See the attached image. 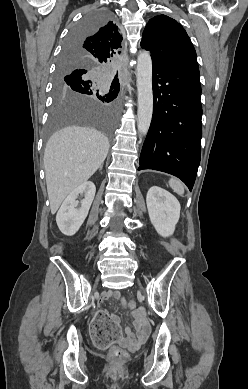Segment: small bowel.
Instances as JSON below:
<instances>
[{
    "label": "small bowel",
    "instance_id": "small-bowel-1",
    "mask_svg": "<svg viewBox=\"0 0 248 389\" xmlns=\"http://www.w3.org/2000/svg\"><path fill=\"white\" fill-rule=\"evenodd\" d=\"M103 298L105 300L114 298L121 300L124 303V299L120 291H107L103 294ZM111 318L115 321L118 320V316L114 314L111 315ZM132 324L136 329V333L133 332L131 328L126 327L125 337H123L122 340H119L122 345L131 349L139 347L146 340L150 330L149 325L140 310L132 312Z\"/></svg>",
    "mask_w": 248,
    "mask_h": 389
}]
</instances>
